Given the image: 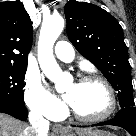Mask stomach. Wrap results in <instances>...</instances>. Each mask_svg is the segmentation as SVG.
Returning <instances> with one entry per match:
<instances>
[{"instance_id":"obj_1","label":"stomach","mask_w":136,"mask_h":136,"mask_svg":"<svg viewBox=\"0 0 136 136\" xmlns=\"http://www.w3.org/2000/svg\"><path fill=\"white\" fill-rule=\"evenodd\" d=\"M77 135L70 133V132H66L63 134H59L58 136H114L113 134L107 132V131H103V130H90V131H86L83 133L80 132H76Z\"/></svg>"}]
</instances>
